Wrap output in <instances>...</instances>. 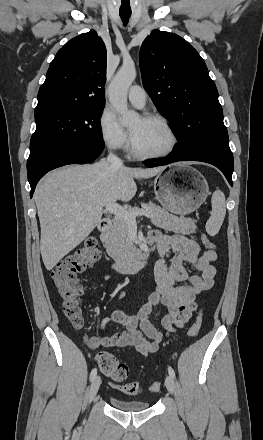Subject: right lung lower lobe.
<instances>
[{
    "mask_svg": "<svg viewBox=\"0 0 263 440\" xmlns=\"http://www.w3.org/2000/svg\"><path fill=\"white\" fill-rule=\"evenodd\" d=\"M104 144L77 145L72 148L61 149L51 153L40 164L28 171V180L31 186L32 197L38 181L50 170L69 165L93 162L102 152Z\"/></svg>",
    "mask_w": 263,
    "mask_h": 440,
    "instance_id": "right-lung-lower-lobe-1",
    "label": "right lung lower lobe"
}]
</instances>
